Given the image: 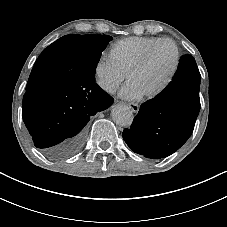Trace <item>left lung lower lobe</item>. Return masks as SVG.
Segmentation results:
<instances>
[{
    "instance_id": "0a47b994",
    "label": "left lung lower lobe",
    "mask_w": 227,
    "mask_h": 227,
    "mask_svg": "<svg viewBox=\"0 0 227 227\" xmlns=\"http://www.w3.org/2000/svg\"><path fill=\"white\" fill-rule=\"evenodd\" d=\"M200 73L195 59L183 55L170 84L141 105L123 138L129 148L151 159L167 157L191 136L200 111Z\"/></svg>"
}]
</instances>
